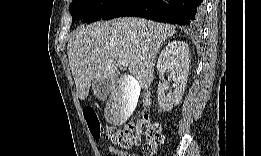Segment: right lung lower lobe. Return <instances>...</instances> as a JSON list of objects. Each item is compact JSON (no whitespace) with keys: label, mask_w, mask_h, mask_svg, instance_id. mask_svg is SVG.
<instances>
[{"label":"right lung lower lobe","mask_w":261,"mask_h":156,"mask_svg":"<svg viewBox=\"0 0 261 156\" xmlns=\"http://www.w3.org/2000/svg\"><path fill=\"white\" fill-rule=\"evenodd\" d=\"M203 14V0H119L102 19L137 16L158 22L197 27Z\"/></svg>","instance_id":"98d812e1"}]
</instances>
